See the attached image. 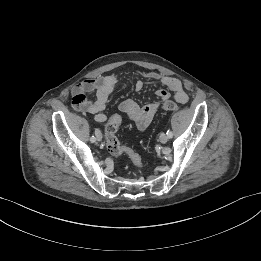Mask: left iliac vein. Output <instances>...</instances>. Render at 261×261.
<instances>
[{"label": "left iliac vein", "instance_id": "left-iliac-vein-1", "mask_svg": "<svg viewBox=\"0 0 261 261\" xmlns=\"http://www.w3.org/2000/svg\"><path fill=\"white\" fill-rule=\"evenodd\" d=\"M159 140L161 143L165 144L168 141V136L165 133H161Z\"/></svg>", "mask_w": 261, "mask_h": 261}]
</instances>
